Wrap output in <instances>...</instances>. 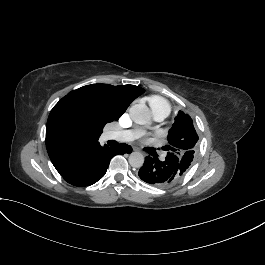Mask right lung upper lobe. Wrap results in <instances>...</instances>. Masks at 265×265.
Returning <instances> with one entry per match:
<instances>
[{
	"label": "right lung upper lobe",
	"mask_w": 265,
	"mask_h": 265,
	"mask_svg": "<svg viewBox=\"0 0 265 265\" xmlns=\"http://www.w3.org/2000/svg\"><path fill=\"white\" fill-rule=\"evenodd\" d=\"M144 89L134 85L91 84L71 91L51 110L46 148L57 170L73 157L99 145L106 123L123 114Z\"/></svg>",
	"instance_id": "obj_1"
}]
</instances>
